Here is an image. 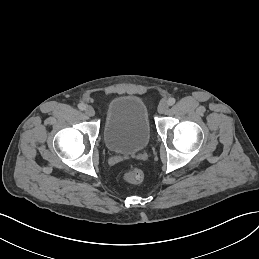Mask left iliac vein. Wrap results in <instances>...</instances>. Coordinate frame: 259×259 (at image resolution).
<instances>
[{
  "instance_id": "left-iliac-vein-1",
  "label": "left iliac vein",
  "mask_w": 259,
  "mask_h": 259,
  "mask_svg": "<svg viewBox=\"0 0 259 259\" xmlns=\"http://www.w3.org/2000/svg\"><path fill=\"white\" fill-rule=\"evenodd\" d=\"M168 110V104L166 102H161L158 106V112L160 114L166 113Z\"/></svg>"
}]
</instances>
